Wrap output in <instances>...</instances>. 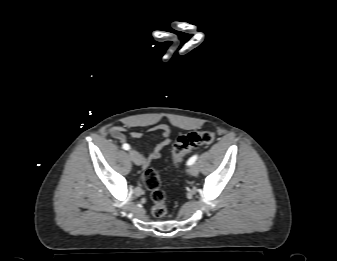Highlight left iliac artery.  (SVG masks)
I'll use <instances>...</instances> for the list:
<instances>
[{
  "label": "left iliac artery",
  "instance_id": "1",
  "mask_svg": "<svg viewBox=\"0 0 337 261\" xmlns=\"http://www.w3.org/2000/svg\"><path fill=\"white\" fill-rule=\"evenodd\" d=\"M197 158H198L197 155H194L191 158H189V160L187 161V165H189V166L193 165L196 162Z\"/></svg>",
  "mask_w": 337,
  "mask_h": 261
}]
</instances>
